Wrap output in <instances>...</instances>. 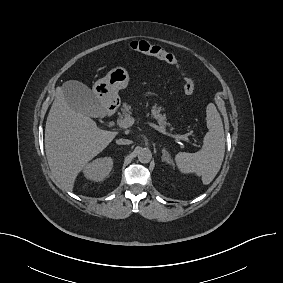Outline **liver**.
<instances>
[{"instance_id": "obj_1", "label": "liver", "mask_w": 283, "mask_h": 283, "mask_svg": "<svg viewBox=\"0 0 283 283\" xmlns=\"http://www.w3.org/2000/svg\"><path fill=\"white\" fill-rule=\"evenodd\" d=\"M117 134L98 128L89 116L73 110L59 87L46 121L45 152L60 186L72 191L78 173Z\"/></svg>"}]
</instances>
